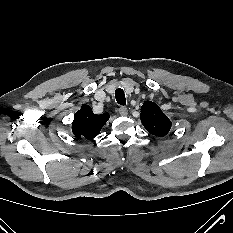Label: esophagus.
<instances>
[{
  "label": "esophagus",
  "mask_w": 233,
  "mask_h": 233,
  "mask_svg": "<svg viewBox=\"0 0 233 233\" xmlns=\"http://www.w3.org/2000/svg\"><path fill=\"white\" fill-rule=\"evenodd\" d=\"M118 112L121 116H126L128 114V110L126 107L122 106L118 109Z\"/></svg>",
  "instance_id": "1"
}]
</instances>
